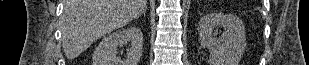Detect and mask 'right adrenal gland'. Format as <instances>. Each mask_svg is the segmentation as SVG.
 <instances>
[{"instance_id":"2a0ac1e0","label":"right adrenal gland","mask_w":309,"mask_h":65,"mask_svg":"<svg viewBox=\"0 0 309 65\" xmlns=\"http://www.w3.org/2000/svg\"><path fill=\"white\" fill-rule=\"evenodd\" d=\"M140 15H144V16L146 15V8H144V10L142 11V13Z\"/></svg>"}]
</instances>
